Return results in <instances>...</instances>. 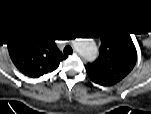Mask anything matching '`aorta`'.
Masks as SVG:
<instances>
[{
    "label": "aorta",
    "instance_id": "aorta-1",
    "mask_svg": "<svg viewBox=\"0 0 151 114\" xmlns=\"http://www.w3.org/2000/svg\"><path fill=\"white\" fill-rule=\"evenodd\" d=\"M90 52L86 53L85 56L89 57V58H94L96 56V47L95 45H91L90 47Z\"/></svg>",
    "mask_w": 151,
    "mask_h": 114
}]
</instances>
